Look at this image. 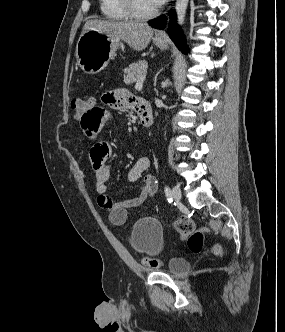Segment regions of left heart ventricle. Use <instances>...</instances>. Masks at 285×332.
Masks as SVG:
<instances>
[{
    "instance_id": "b2bd125f",
    "label": "left heart ventricle",
    "mask_w": 285,
    "mask_h": 332,
    "mask_svg": "<svg viewBox=\"0 0 285 332\" xmlns=\"http://www.w3.org/2000/svg\"><path fill=\"white\" fill-rule=\"evenodd\" d=\"M136 2L138 9L143 13H147L156 9L151 0H136Z\"/></svg>"
}]
</instances>
